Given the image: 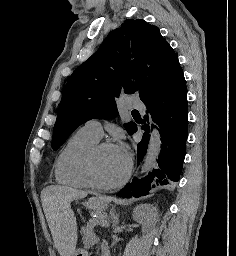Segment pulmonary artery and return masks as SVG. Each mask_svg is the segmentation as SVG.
I'll return each instance as SVG.
<instances>
[{
	"instance_id": "pulmonary-artery-1",
	"label": "pulmonary artery",
	"mask_w": 236,
	"mask_h": 256,
	"mask_svg": "<svg viewBox=\"0 0 236 256\" xmlns=\"http://www.w3.org/2000/svg\"><path fill=\"white\" fill-rule=\"evenodd\" d=\"M127 100L130 101L129 102L130 109H135L136 106H139V110L144 111L145 107L144 105H142L141 101H133L134 100L133 96H128ZM81 129L84 130L88 135L95 138L97 141H100V139L102 138V135H103L102 125L100 121L96 119L87 121Z\"/></svg>"
}]
</instances>
